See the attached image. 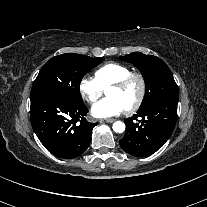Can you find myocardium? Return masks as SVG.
Here are the masks:
<instances>
[{
	"mask_svg": "<svg viewBox=\"0 0 207 207\" xmlns=\"http://www.w3.org/2000/svg\"><path fill=\"white\" fill-rule=\"evenodd\" d=\"M133 82H137L139 84V94L136 100L134 101V103L130 105L128 108H126L127 113L135 112L136 110H138V108L143 103L144 98L146 96V92H147V84H146L145 78L140 73H130L123 79L111 85L112 88L124 90Z\"/></svg>",
	"mask_w": 207,
	"mask_h": 207,
	"instance_id": "1",
	"label": "myocardium"
}]
</instances>
